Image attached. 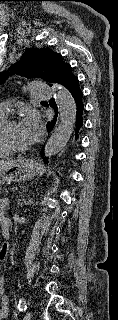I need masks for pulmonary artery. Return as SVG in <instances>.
Returning a JSON list of instances; mask_svg holds the SVG:
<instances>
[{"label": "pulmonary artery", "instance_id": "pulmonary-artery-1", "mask_svg": "<svg viewBox=\"0 0 118 320\" xmlns=\"http://www.w3.org/2000/svg\"><path fill=\"white\" fill-rule=\"evenodd\" d=\"M29 91L36 100H47L51 97L50 88L43 83H32L29 87ZM8 109L9 104L7 102L0 103V112L6 114Z\"/></svg>", "mask_w": 118, "mask_h": 320}]
</instances>
